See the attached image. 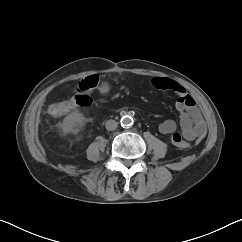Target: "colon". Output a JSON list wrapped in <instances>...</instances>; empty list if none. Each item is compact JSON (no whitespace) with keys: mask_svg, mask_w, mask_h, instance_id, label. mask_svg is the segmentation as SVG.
<instances>
[{"mask_svg":"<svg viewBox=\"0 0 242 242\" xmlns=\"http://www.w3.org/2000/svg\"><path fill=\"white\" fill-rule=\"evenodd\" d=\"M98 80L95 78L85 81L76 89V95L71 100H63L52 104L49 111L53 115H63L66 112L67 104L72 101L75 106L88 107L90 106L92 99L90 93L97 86Z\"/></svg>","mask_w":242,"mask_h":242,"instance_id":"5ec220e1","label":"colon"}]
</instances>
